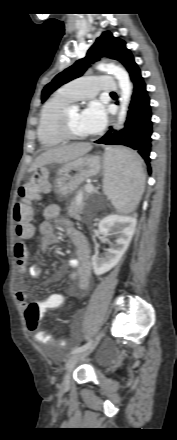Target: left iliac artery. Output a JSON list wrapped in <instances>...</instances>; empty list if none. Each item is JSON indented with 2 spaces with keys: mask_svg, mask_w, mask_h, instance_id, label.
<instances>
[{
  "mask_svg": "<svg viewBox=\"0 0 177 440\" xmlns=\"http://www.w3.org/2000/svg\"><path fill=\"white\" fill-rule=\"evenodd\" d=\"M92 340L88 341L85 345L81 346V347H77L74 348L71 352V354L77 353V352H81L83 350H86L91 344H92Z\"/></svg>",
  "mask_w": 177,
  "mask_h": 440,
  "instance_id": "1",
  "label": "left iliac artery"
}]
</instances>
